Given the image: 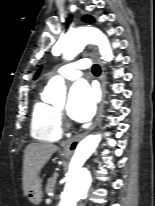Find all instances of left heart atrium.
Instances as JSON below:
<instances>
[{
	"instance_id": "left-heart-atrium-1",
	"label": "left heart atrium",
	"mask_w": 155,
	"mask_h": 206,
	"mask_svg": "<svg viewBox=\"0 0 155 206\" xmlns=\"http://www.w3.org/2000/svg\"><path fill=\"white\" fill-rule=\"evenodd\" d=\"M95 106L96 95L91 86L85 81L76 82L69 93L68 115L78 122H84L93 116Z\"/></svg>"
}]
</instances>
